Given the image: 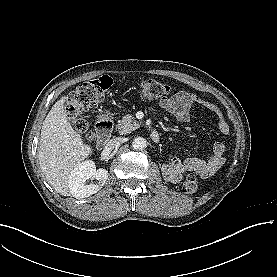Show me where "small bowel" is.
<instances>
[{
  "label": "small bowel",
  "instance_id": "1",
  "mask_svg": "<svg viewBox=\"0 0 277 277\" xmlns=\"http://www.w3.org/2000/svg\"><path fill=\"white\" fill-rule=\"evenodd\" d=\"M159 105L181 122L189 120L190 110L193 105H199L212 112H218V108L213 103L187 91H179L170 98H163L160 100ZM218 127L224 134L229 131V126L223 119H219ZM223 155L224 144L218 142L214 145L213 156L208 161L197 158H186L184 161H181L176 157H172L167 162V168L179 169L200 176H208L213 169L222 164L224 160Z\"/></svg>",
  "mask_w": 277,
  "mask_h": 277
}]
</instances>
